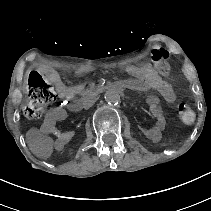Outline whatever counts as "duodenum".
<instances>
[{
    "label": "duodenum",
    "mask_w": 211,
    "mask_h": 211,
    "mask_svg": "<svg viewBox=\"0 0 211 211\" xmlns=\"http://www.w3.org/2000/svg\"><path fill=\"white\" fill-rule=\"evenodd\" d=\"M138 89V83L134 79H128V80H120L112 83H108L105 85H100L95 89L96 93H104L106 91H119L124 92L127 90H137ZM69 109L73 112H78L82 109V103L78 100H72L69 105Z\"/></svg>",
    "instance_id": "obj_1"
}]
</instances>
